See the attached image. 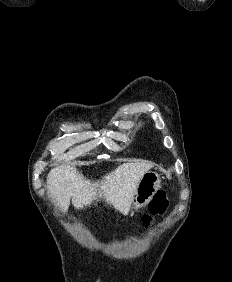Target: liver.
<instances>
[{"label": "liver", "mask_w": 232, "mask_h": 282, "mask_svg": "<svg viewBox=\"0 0 232 282\" xmlns=\"http://www.w3.org/2000/svg\"><path fill=\"white\" fill-rule=\"evenodd\" d=\"M151 168L152 164L148 162L124 163L105 175L101 181L91 182L76 168L61 165L49 172L47 191L64 211H67L71 198L77 209L103 199L108 205L127 215L139 180Z\"/></svg>", "instance_id": "1"}]
</instances>
